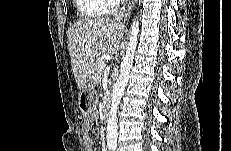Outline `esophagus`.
I'll use <instances>...</instances> for the list:
<instances>
[{
    "mask_svg": "<svg viewBox=\"0 0 231 151\" xmlns=\"http://www.w3.org/2000/svg\"><path fill=\"white\" fill-rule=\"evenodd\" d=\"M134 6H135V0H129L128 4H127V11H126L124 19H123L124 22H126L129 19L130 12L134 8Z\"/></svg>",
    "mask_w": 231,
    "mask_h": 151,
    "instance_id": "esophagus-1",
    "label": "esophagus"
}]
</instances>
